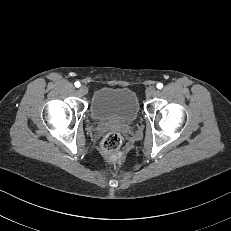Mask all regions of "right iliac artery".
Returning a JSON list of instances; mask_svg holds the SVG:
<instances>
[{
	"label": "right iliac artery",
	"instance_id": "obj_1",
	"mask_svg": "<svg viewBox=\"0 0 231 231\" xmlns=\"http://www.w3.org/2000/svg\"><path fill=\"white\" fill-rule=\"evenodd\" d=\"M75 86L76 87H80V83L79 82H75Z\"/></svg>",
	"mask_w": 231,
	"mask_h": 231
}]
</instances>
